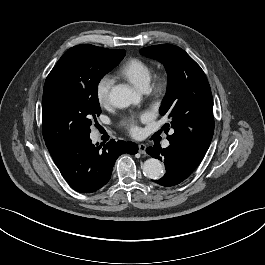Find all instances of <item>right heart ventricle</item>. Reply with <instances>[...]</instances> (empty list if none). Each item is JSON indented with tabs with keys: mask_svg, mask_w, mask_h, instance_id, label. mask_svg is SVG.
<instances>
[{
	"mask_svg": "<svg viewBox=\"0 0 265 265\" xmlns=\"http://www.w3.org/2000/svg\"><path fill=\"white\" fill-rule=\"evenodd\" d=\"M118 74L127 79L137 89L146 91L152 80L153 69L144 60L131 58L120 67Z\"/></svg>",
	"mask_w": 265,
	"mask_h": 265,
	"instance_id": "obj_1",
	"label": "right heart ventricle"
}]
</instances>
